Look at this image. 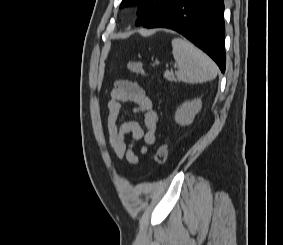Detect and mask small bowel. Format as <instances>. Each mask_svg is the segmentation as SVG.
Masks as SVG:
<instances>
[{
    "mask_svg": "<svg viewBox=\"0 0 283 245\" xmlns=\"http://www.w3.org/2000/svg\"><path fill=\"white\" fill-rule=\"evenodd\" d=\"M108 103L107 128L110 145L120 160L130 164L139 163V155L134 148L138 141L143 140L140 149L145 154L148 147L153 145L157 137L158 114L153 109V102L145 90L137 83L129 80H118L110 93ZM126 103H134L135 113L143 117L142 124L137 121L118 123V118ZM131 135V142L127 143L125 137Z\"/></svg>",
    "mask_w": 283,
    "mask_h": 245,
    "instance_id": "small-bowel-1",
    "label": "small bowel"
}]
</instances>
